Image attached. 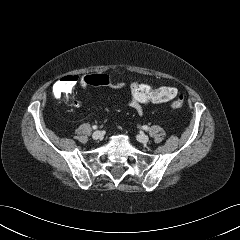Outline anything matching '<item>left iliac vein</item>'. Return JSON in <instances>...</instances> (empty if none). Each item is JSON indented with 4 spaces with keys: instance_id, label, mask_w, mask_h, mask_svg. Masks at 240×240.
Returning a JSON list of instances; mask_svg holds the SVG:
<instances>
[{
    "instance_id": "left-iliac-vein-1",
    "label": "left iliac vein",
    "mask_w": 240,
    "mask_h": 240,
    "mask_svg": "<svg viewBox=\"0 0 240 240\" xmlns=\"http://www.w3.org/2000/svg\"><path fill=\"white\" fill-rule=\"evenodd\" d=\"M138 140L142 143H147L149 141V137L143 133L138 135Z\"/></svg>"
}]
</instances>
